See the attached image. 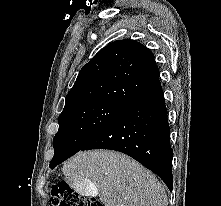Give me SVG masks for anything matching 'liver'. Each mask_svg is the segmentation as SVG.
<instances>
[{"label":"liver","instance_id":"6515ba94","mask_svg":"<svg viewBox=\"0 0 221 206\" xmlns=\"http://www.w3.org/2000/svg\"><path fill=\"white\" fill-rule=\"evenodd\" d=\"M70 185L90 183L105 206H167L156 176L125 154L110 150L79 152L62 168Z\"/></svg>","mask_w":221,"mask_h":206}]
</instances>
